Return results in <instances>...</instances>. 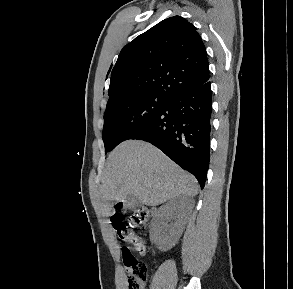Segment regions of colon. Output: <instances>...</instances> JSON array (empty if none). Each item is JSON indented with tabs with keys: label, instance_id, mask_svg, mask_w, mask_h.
<instances>
[{
	"label": "colon",
	"instance_id": "1",
	"mask_svg": "<svg viewBox=\"0 0 293 289\" xmlns=\"http://www.w3.org/2000/svg\"><path fill=\"white\" fill-rule=\"evenodd\" d=\"M149 221V212L145 208H136L128 215L115 214L111 217L113 228L120 241L131 243L134 248L144 253L146 243L134 233V228L145 227ZM122 257L127 270V289H144L148 277L147 264L135 257L128 247L122 248Z\"/></svg>",
	"mask_w": 293,
	"mask_h": 289
}]
</instances>
